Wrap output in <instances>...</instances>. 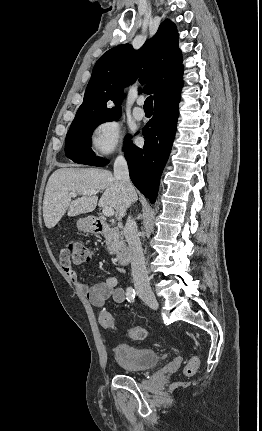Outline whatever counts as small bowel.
I'll use <instances>...</instances> for the list:
<instances>
[{"mask_svg":"<svg viewBox=\"0 0 262 431\" xmlns=\"http://www.w3.org/2000/svg\"><path fill=\"white\" fill-rule=\"evenodd\" d=\"M60 265L68 279L75 284L81 292L86 294L89 302L94 307L100 309L104 308L109 298H112L113 302L116 304H123L126 301L127 291L123 288L117 287L118 279L116 277H109L106 280L98 282L88 288L71 264L61 261ZM118 271L119 273H124L123 268H118Z\"/></svg>","mask_w":262,"mask_h":431,"instance_id":"c3829d8e","label":"small bowel"}]
</instances>
